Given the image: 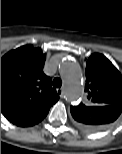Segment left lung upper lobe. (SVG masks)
Instances as JSON below:
<instances>
[{"label": "left lung upper lobe", "instance_id": "1", "mask_svg": "<svg viewBox=\"0 0 122 154\" xmlns=\"http://www.w3.org/2000/svg\"><path fill=\"white\" fill-rule=\"evenodd\" d=\"M86 85L88 101L78 106H71L73 118L82 123L79 114L81 108L117 105L122 107V75L102 54H92L86 63Z\"/></svg>", "mask_w": 122, "mask_h": 154}]
</instances>
